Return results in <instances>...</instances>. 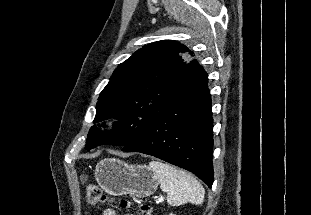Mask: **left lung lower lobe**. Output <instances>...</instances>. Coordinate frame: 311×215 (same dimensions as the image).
Listing matches in <instances>:
<instances>
[{"label":"left lung lower lobe","mask_w":311,"mask_h":215,"mask_svg":"<svg viewBox=\"0 0 311 215\" xmlns=\"http://www.w3.org/2000/svg\"><path fill=\"white\" fill-rule=\"evenodd\" d=\"M207 83L208 75L199 65L189 83L122 151L148 154L184 168L211 188L213 118Z\"/></svg>","instance_id":"1"}]
</instances>
